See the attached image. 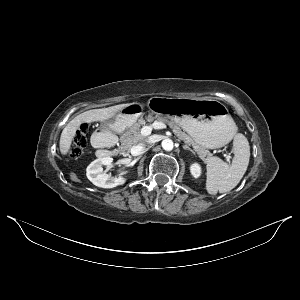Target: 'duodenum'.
<instances>
[{
    "mask_svg": "<svg viewBox=\"0 0 300 300\" xmlns=\"http://www.w3.org/2000/svg\"><path fill=\"white\" fill-rule=\"evenodd\" d=\"M93 143L97 148L100 158H105L113 153L112 146L114 144V138L107 130H99L93 135Z\"/></svg>",
    "mask_w": 300,
    "mask_h": 300,
    "instance_id": "duodenum-1",
    "label": "duodenum"
}]
</instances>
